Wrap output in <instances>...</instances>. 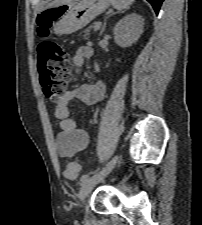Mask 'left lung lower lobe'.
Listing matches in <instances>:
<instances>
[{"mask_svg":"<svg viewBox=\"0 0 202 225\" xmlns=\"http://www.w3.org/2000/svg\"><path fill=\"white\" fill-rule=\"evenodd\" d=\"M147 1L151 3V5L153 6L156 14H158L161 3L163 2V0H147Z\"/></svg>","mask_w":202,"mask_h":225,"instance_id":"obj_1","label":"left lung lower lobe"}]
</instances>
